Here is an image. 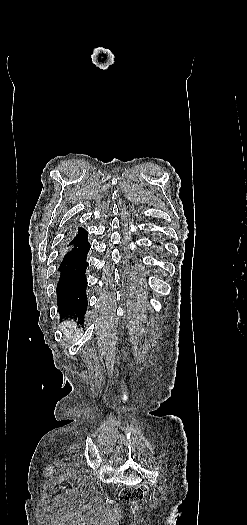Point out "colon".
Returning <instances> with one entry per match:
<instances>
[{
	"label": "colon",
	"instance_id": "colon-1",
	"mask_svg": "<svg viewBox=\"0 0 247 525\" xmlns=\"http://www.w3.org/2000/svg\"><path fill=\"white\" fill-rule=\"evenodd\" d=\"M149 488L147 485L142 484L137 487H125L119 494V498L122 501H138L145 498Z\"/></svg>",
	"mask_w": 247,
	"mask_h": 525
}]
</instances>
